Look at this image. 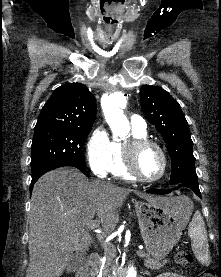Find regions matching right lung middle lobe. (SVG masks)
<instances>
[{
  "label": "right lung middle lobe",
  "instance_id": "right-lung-middle-lobe-1",
  "mask_svg": "<svg viewBox=\"0 0 221 277\" xmlns=\"http://www.w3.org/2000/svg\"><path fill=\"white\" fill-rule=\"evenodd\" d=\"M91 128H35L32 143V179L68 165L86 166L83 146Z\"/></svg>",
  "mask_w": 221,
  "mask_h": 277
}]
</instances>
